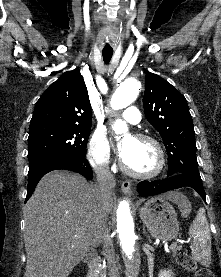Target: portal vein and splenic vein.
Instances as JSON below:
<instances>
[{"mask_svg": "<svg viewBox=\"0 0 221 277\" xmlns=\"http://www.w3.org/2000/svg\"><path fill=\"white\" fill-rule=\"evenodd\" d=\"M171 250L175 249V248H178L177 247V244L175 242H173L170 247H169Z\"/></svg>", "mask_w": 221, "mask_h": 277, "instance_id": "18ae733b", "label": "portal vein and splenic vein"}]
</instances>
